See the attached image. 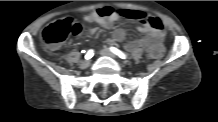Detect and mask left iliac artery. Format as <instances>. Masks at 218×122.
<instances>
[{"mask_svg": "<svg viewBox=\"0 0 218 122\" xmlns=\"http://www.w3.org/2000/svg\"><path fill=\"white\" fill-rule=\"evenodd\" d=\"M110 50L112 51V53H114L115 55H117L121 59H127V55L125 53H123L121 50H119L118 48L110 47Z\"/></svg>", "mask_w": 218, "mask_h": 122, "instance_id": "left-iliac-artery-1", "label": "left iliac artery"}]
</instances>
